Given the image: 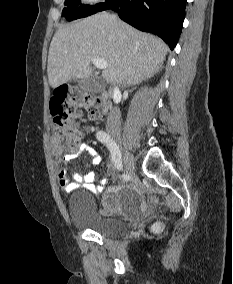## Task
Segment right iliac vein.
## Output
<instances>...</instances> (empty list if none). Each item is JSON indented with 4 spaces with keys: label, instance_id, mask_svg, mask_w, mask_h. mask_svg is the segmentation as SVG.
<instances>
[{
    "label": "right iliac vein",
    "instance_id": "right-iliac-vein-1",
    "mask_svg": "<svg viewBox=\"0 0 233 284\" xmlns=\"http://www.w3.org/2000/svg\"><path fill=\"white\" fill-rule=\"evenodd\" d=\"M115 138H116V140L118 142H121L120 141V136L115 135ZM123 161H124L125 168H126V170L128 172V176L129 177H134L135 173L133 171L135 169V163H134V160H133V158H132V156L130 155L129 152L124 151Z\"/></svg>",
    "mask_w": 233,
    "mask_h": 284
}]
</instances>
